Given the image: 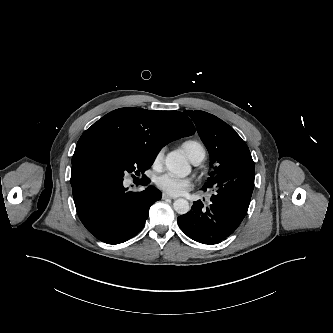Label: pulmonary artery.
Masks as SVG:
<instances>
[{"mask_svg":"<svg viewBox=\"0 0 333 333\" xmlns=\"http://www.w3.org/2000/svg\"><path fill=\"white\" fill-rule=\"evenodd\" d=\"M203 159H204V158H199L198 160H196V161L194 162V164H199V163H201V162L203 161Z\"/></svg>","mask_w":333,"mask_h":333,"instance_id":"obj_1","label":"pulmonary artery"}]
</instances>
